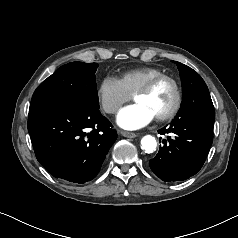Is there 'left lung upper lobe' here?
I'll list each match as a JSON object with an SVG mask.
<instances>
[{
  "instance_id": "obj_1",
  "label": "left lung upper lobe",
  "mask_w": 238,
  "mask_h": 238,
  "mask_svg": "<svg viewBox=\"0 0 238 238\" xmlns=\"http://www.w3.org/2000/svg\"><path fill=\"white\" fill-rule=\"evenodd\" d=\"M182 84V104L175 119H215L207 85L192 68L175 61Z\"/></svg>"
}]
</instances>
